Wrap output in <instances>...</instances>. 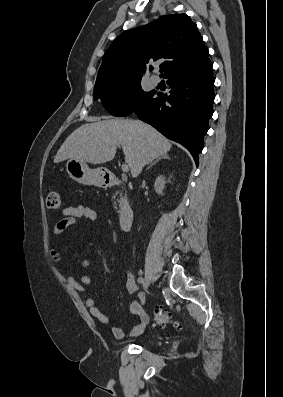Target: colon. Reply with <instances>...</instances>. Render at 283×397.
I'll return each mask as SVG.
<instances>
[{"label":"colon","instance_id":"colon-1","mask_svg":"<svg viewBox=\"0 0 283 397\" xmlns=\"http://www.w3.org/2000/svg\"><path fill=\"white\" fill-rule=\"evenodd\" d=\"M63 201L61 194L54 190H48L46 194V205L50 209H59L62 207ZM155 322L156 324L170 323L175 327L179 326L177 321L172 319V314L169 310L163 307L155 309Z\"/></svg>","mask_w":283,"mask_h":397}]
</instances>
